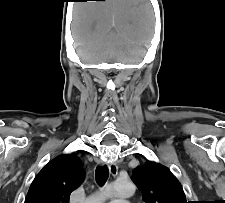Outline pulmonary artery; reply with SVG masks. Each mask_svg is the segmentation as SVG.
Returning <instances> with one entry per match:
<instances>
[{
    "label": "pulmonary artery",
    "instance_id": "pulmonary-artery-1",
    "mask_svg": "<svg viewBox=\"0 0 225 203\" xmlns=\"http://www.w3.org/2000/svg\"><path fill=\"white\" fill-rule=\"evenodd\" d=\"M110 203H129L128 201H112Z\"/></svg>",
    "mask_w": 225,
    "mask_h": 203
}]
</instances>
